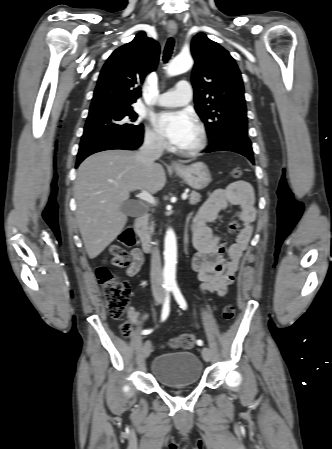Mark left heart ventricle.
I'll list each match as a JSON object with an SVG mask.
<instances>
[{
    "label": "left heart ventricle",
    "instance_id": "1",
    "mask_svg": "<svg viewBox=\"0 0 332 449\" xmlns=\"http://www.w3.org/2000/svg\"><path fill=\"white\" fill-rule=\"evenodd\" d=\"M196 139H197V132L195 129L193 134L190 136V138L187 140V142L184 144V146L182 148L190 147L191 145H193L195 143Z\"/></svg>",
    "mask_w": 332,
    "mask_h": 449
}]
</instances>
